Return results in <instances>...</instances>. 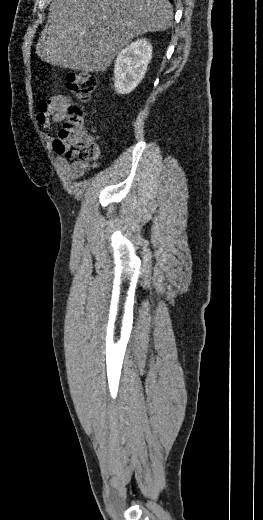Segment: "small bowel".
Here are the masks:
<instances>
[{
  "instance_id": "small-bowel-1",
  "label": "small bowel",
  "mask_w": 263,
  "mask_h": 520,
  "mask_svg": "<svg viewBox=\"0 0 263 520\" xmlns=\"http://www.w3.org/2000/svg\"><path fill=\"white\" fill-rule=\"evenodd\" d=\"M72 104L71 99L65 95H54L38 104V112L35 120L37 126L44 131V138L48 144L54 147V139L49 135L53 123H59L68 116V107ZM55 149V148H54ZM56 162L60 169L72 180L82 177L93 165L87 162H68L65 158L58 156Z\"/></svg>"
}]
</instances>
